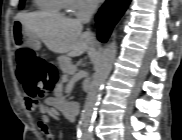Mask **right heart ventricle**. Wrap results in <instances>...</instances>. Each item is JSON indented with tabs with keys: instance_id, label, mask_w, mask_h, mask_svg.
<instances>
[{
	"instance_id": "obj_1",
	"label": "right heart ventricle",
	"mask_w": 182,
	"mask_h": 140,
	"mask_svg": "<svg viewBox=\"0 0 182 140\" xmlns=\"http://www.w3.org/2000/svg\"><path fill=\"white\" fill-rule=\"evenodd\" d=\"M36 4L41 10L58 13L66 8L67 0H37Z\"/></svg>"
}]
</instances>
